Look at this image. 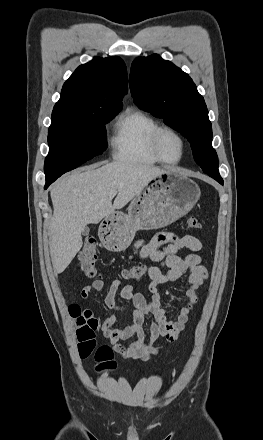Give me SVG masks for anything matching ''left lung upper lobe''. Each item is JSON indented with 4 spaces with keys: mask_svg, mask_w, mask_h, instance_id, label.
<instances>
[{
    "mask_svg": "<svg viewBox=\"0 0 263 440\" xmlns=\"http://www.w3.org/2000/svg\"><path fill=\"white\" fill-rule=\"evenodd\" d=\"M129 86L134 102L185 136L194 159L209 176H220L212 127L203 97L188 74L159 55L136 58Z\"/></svg>",
    "mask_w": 263,
    "mask_h": 440,
    "instance_id": "left-lung-upper-lobe-1",
    "label": "left lung upper lobe"
}]
</instances>
